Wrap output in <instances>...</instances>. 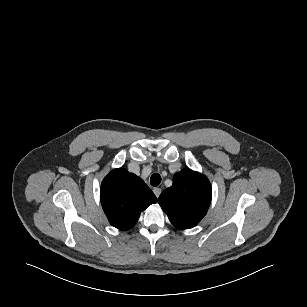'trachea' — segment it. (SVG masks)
<instances>
[{
  "label": "trachea",
  "mask_w": 307,
  "mask_h": 307,
  "mask_svg": "<svg viewBox=\"0 0 307 307\" xmlns=\"http://www.w3.org/2000/svg\"><path fill=\"white\" fill-rule=\"evenodd\" d=\"M150 183L152 186L156 187L161 183V176L158 173H154L150 178Z\"/></svg>",
  "instance_id": "trachea-1"
}]
</instances>
